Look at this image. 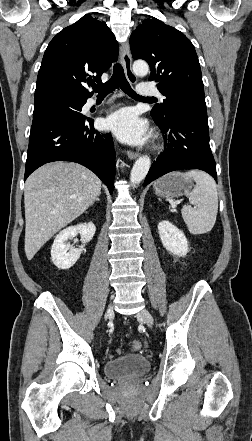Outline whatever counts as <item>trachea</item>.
Masks as SVG:
<instances>
[{
	"instance_id": "3493384b",
	"label": "trachea",
	"mask_w": 252,
	"mask_h": 441,
	"mask_svg": "<svg viewBox=\"0 0 252 441\" xmlns=\"http://www.w3.org/2000/svg\"><path fill=\"white\" fill-rule=\"evenodd\" d=\"M120 87L128 96L141 100H155L153 97H141L131 88L128 83L121 64L117 63L113 68L112 77L104 84L93 85L92 88L98 93V96H107L116 88Z\"/></svg>"
}]
</instances>
